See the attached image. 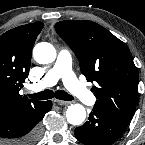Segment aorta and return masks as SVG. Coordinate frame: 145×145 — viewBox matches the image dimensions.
<instances>
[{
	"mask_svg": "<svg viewBox=\"0 0 145 145\" xmlns=\"http://www.w3.org/2000/svg\"><path fill=\"white\" fill-rule=\"evenodd\" d=\"M33 55L36 62L40 64H49L55 60L56 50L52 44L41 42L34 47ZM66 118L68 123L72 125L82 124L86 118L85 108L77 103L69 105L66 110Z\"/></svg>",
	"mask_w": 145,
	"mask_h": 145,
	"instance_id": "aorta-1",
	"label": "aorta"
}]
</instances>
